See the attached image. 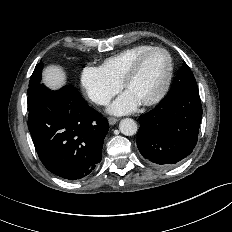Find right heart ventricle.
Here are the masks:
<instances>
[{
  "mask_svg": "<svg viewBox=\"0 0 232 232\" xmlns=\"http://www.w3.org/2000/svg\"><path fill=\"white\" fill-rule=\"evenodd\" d=\"M151 45L140 44L127 48L111 57L106 58L101 68L105 73L117 83L121 84L133 60L143 51L151 48Z\"/></svg>",
  "mask_w": 232,
  "mask_h": 232,
  "instance_id": "obj_1",
  "label": "right heart ventricle"
}]
</instances>
